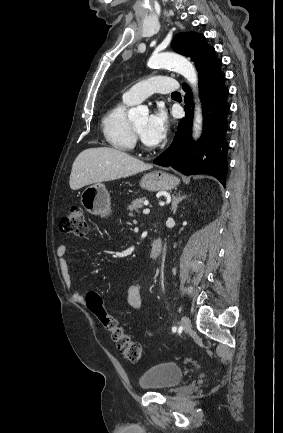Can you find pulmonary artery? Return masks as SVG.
Segmentation results:
<instances>
[{"mask_svg":"<svg viewBox=\"0 0 283 433\" xmlns=\"http://www.w3.org/2000/svg\"><path fill=\"white\" fill-rule=\"evenodd\" d=\"M181 89V84L173 78H164L162 72H155L153 77L145 78L128 89L123 98L130 104H136L154 92H180Z\"/></svg>","mask_w":283,"mask_h":433,"instance_id":"e3ab8cb5","label":"pulmonary artery"}]
</instances>
